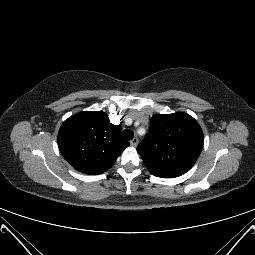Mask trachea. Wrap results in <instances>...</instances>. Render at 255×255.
Wrapping results in <instances>:
<instances>
[{"instance_id": "trachea-1", "label": "trachea", "mask_w": 255, "mask_h": 255, "mask_svg": "<svg viewBox=\"0 0 255 255\" xmlns=\"http://www.w3.org/2000/svg\"><path fill=\"white\" fill-rule=\"evenodd\" d=\"M122 137H123L125 140H132L133 137H134V132H133L132 130L125 129V130L122 132Z\"/></svg>"}]
</instances>
